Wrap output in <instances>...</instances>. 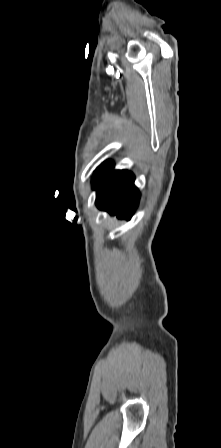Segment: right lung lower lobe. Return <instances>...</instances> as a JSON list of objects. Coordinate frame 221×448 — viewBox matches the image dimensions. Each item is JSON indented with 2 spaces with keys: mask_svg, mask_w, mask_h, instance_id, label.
I'll return each instance as SVG.
<instances>
[{
  "mask_svg": "<svg viewBox=\"0 0 221 448\" xmlns=\"http://www.w3.org/2000/svg\"><path fill=\"white\" fill-rule=\"evenodd\" d=\"M134 179L131 172L113 170L112 162H104L93 175V188L97 190V207L129 220L140 197L134 186Z\"/></svg>",
  "mask_w": 221,
  "mask_h": 448,
  "instance_id": "98d812e1",
  "label": "right lung lower lobe"
}]
</instances>
